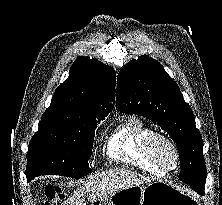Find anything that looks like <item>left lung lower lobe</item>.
Masks as SVG:
<instances>
[{
	"label": "left lung lower lobe",
	"mask_w": 222,
	"mask_h": 205,
	"mask_svg": "<svg viewBox=\"0 0 222 205\" xmlns=\"http://www.w3.org/2000/svg\"><path fill=\"white\" fill-rule=\"evenodd\" d=\"M180 165H181L182 170H185L188 173L189 172L192 173L193 171L197 170V167H198L196 160L187 156L180 157ZM185 182L190 184L191 187L195 189L198 193H201V194L203 193L204 187H201L198 183L193 181L190 177L186 178Z\"/></svg>",
	"instance_id": "left-lung-lower-lobe-1"
}]
</instances>
